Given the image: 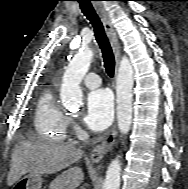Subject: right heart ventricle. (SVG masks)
Returning a JSON list of instances; mask_svg holds the SVG:
<instances>
[{
	"label": "right heart ventricle",
	"instance_id": "e07e8e85",
	"mask_svg": "<svg viewBox=\"0 0 188 189\" xmlns=\"http://www.w3.org/2000/svg\"><path fill=\"white\" fill-rule=\"evenodd\" d=\"M68 116L57 105L51 88L44 89L37 101L34 127L36 132L53 141H63L68 131Z\"/></svg>",
	"mask_w": 188,
	"mask_h": 189
}]
</instances>
